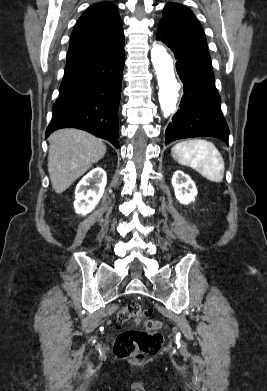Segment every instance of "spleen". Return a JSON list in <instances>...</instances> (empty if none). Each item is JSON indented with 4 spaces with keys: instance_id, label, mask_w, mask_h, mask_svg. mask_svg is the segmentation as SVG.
<instances>
[{
    "instance_id": "obj_1",
    "label": "spleen",
    "mask_w": 267,
    "mask_h": 391,
    "mask_svg": "<svg viewBox=\"0 0 267 391\" xmlns=\"http://www.w3.org/2000/svg\"><path fill=\"white\" fill-rule=\"evenodd\" d=\"M172 156L181 165L190 166L212 182H222L224 160L212 142L192 139L177 143L171 149Z\"/></svg>"
}]
</instances>
